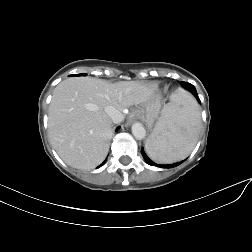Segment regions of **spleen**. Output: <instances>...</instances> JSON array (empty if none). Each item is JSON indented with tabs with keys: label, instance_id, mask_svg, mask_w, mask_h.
Returning a JSON list of instances; mask_svg holds the SVG:
<instances>
[{
	"label": "spleen",
	"instance_id": "3e777b00",
	"mask_svg": "<svg viewBox=\"0 0 252 252\" xmlns=\"http://www.w3.org/2000/svg\"><path fill=\"white\" fill-rule=\"evenodd\" d=\"M200 126L197 102L187 92L177 90L145 143L148 155L159 163L186 158L197 143Z\"/></svg>",
	"mask_w": 252,
	"mask_h": 252
}]
</instances>
